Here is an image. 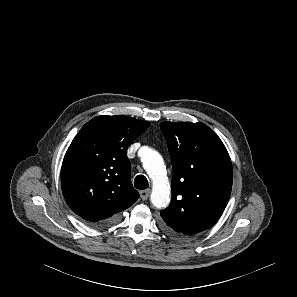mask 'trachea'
Returning <instances> with one entry per match:
<instances>
[{
  "label": "trachea",
  "instance_id": "trachea-1",
  "mask_svg": "<svg viewBox=\"0 0 297 297\" xmlns=\"http://www.w3.org/2000/svg\"><path fill=\"white\" fill-rule=\"evenodd\" d=\"M134 186L139 190L147 189L149 187L147 178L144 175H138L134 180Z\"/></svg>",
  "mask_w": 297,
  "mask_h": 297
}]
</instances>
